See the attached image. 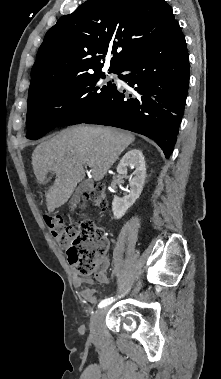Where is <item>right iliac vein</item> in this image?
<instances>
[{"mask_svg":"<svg viewBox=\"0 0 221 379\" xmlns=\"http://www.w3.org/2000/svg\"><path fill=\"white\" fill-rule=\"evenodd\" d=\"M106 311H107L106 308L100 309L91 318L90 333H91V337L94 339H97L100 335L101 324H102L103 318L106 314Z\"/></svg>","mask_w":221,"mask_h":379,"instance_id":"1","label":"right iliac vein"}]
</instances>
